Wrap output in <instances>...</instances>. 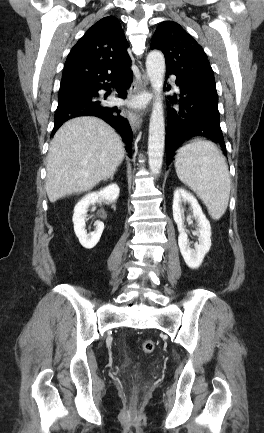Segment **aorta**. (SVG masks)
Segmentation results:
<instances>
[{"instance_id":"obj_1","label":"aorta","mask_w":264,"mask_h":433,"mask_svg":"<svg viewBox=\"0 0 264 433\" xmlns=\"http://www.w3.org/2000/svg\"><path fill=\"white\" fill-rule=\"evenodd\" d=\"M146 70L156 94L149 123L148 163L151 173L157 176L162 168L165 143L164 110L160 97L163 90L165 58L161 52L153 50L148 54Z\"/></svg>"}]
</instances>
